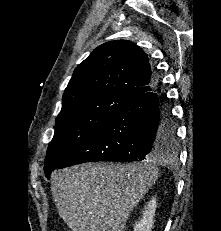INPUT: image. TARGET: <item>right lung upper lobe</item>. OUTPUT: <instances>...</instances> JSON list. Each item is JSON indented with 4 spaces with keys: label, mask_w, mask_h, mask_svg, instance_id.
<instances>
[{
    "label": "right lung upper lobe",
    "mask_w": 221,
    "mask_h": 231,
    "mask_svg": "<svg viewBox=\"0 0 221 231\" xmlns=\"http://www.w3.org/2000/svg\"><path fill=\"white\" fill-rule=\"evenodd\" d=\"M155 71L134 43L116 40L98 46L74 70L63 94L62 108L92 96L127 100L155 88Z\"/></svg>",
    "instance_id": "cb5924a9"
}]
</instances>
